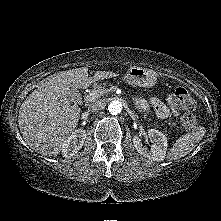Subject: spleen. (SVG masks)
I'll use <instances>...</instances> for the list:
<instances>
[{
  "label": "spleen",
  "mask_w": 221,
  "mask_h": 221,
  "mask_svg": "<svg viewBox=\"0 0 221 221\" xmlns=\"http://www.w3.org/2000/svg\"><path fill=\"white\" fill-rule=\"evenodd\" d=\"M205 134L204 127H198L191 133L185 134L176 140L173 147L168 152V159L177 160L186 156L199 143Z\"/></svg>",
  "instance_id": "1"
}]
</instances>
